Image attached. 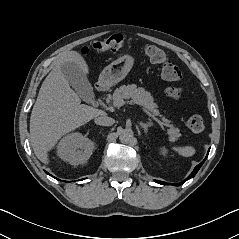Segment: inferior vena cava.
Segmentation results:
<instances>
[{
  "mask_svg": "<svg viewBox=\"0 0 239 239\" xmlns=\"http://www.w3.org/2000/svg\"><path fill=\"white\" fill-rule=\"evenodd\" d=\"M114 122L115 120L107 116L105 113L95 118V123L101 126H111Z\"/></svg>",
  "mask_w": 239,
  "mask_h": 239,
  "instance_id": "obj_1",
  "label": "inferior vena cava"
}]
</instances>
